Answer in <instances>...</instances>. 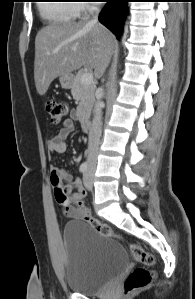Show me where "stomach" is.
Returning a JSON list of instances; mask_svg holds the SVG:
<instances>
[{
  "mask_svg": "<svg viewBox=\"0 0 195 299\" xmlns=\"http://www.w3.org/2000/svg\"><path fill=\"white\" fill-rule=\"evenodd\" d=\"M59 81L62 88L70 89L73 85L74 77L72 74L61 75Z\"/></svg>",
  "mask_w": 195,
  "mask_h": 299,
  "instance_id": "obj_1",
  "label": "stomach"
}]
</instances>
